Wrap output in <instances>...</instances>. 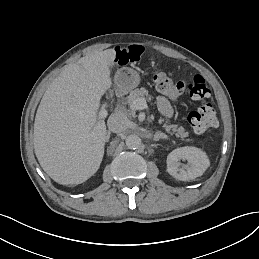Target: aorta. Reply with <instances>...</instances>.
I'll list each match as a JSON object with an SVG mask.
<instances>
[{
	"label": "aorta",
	"mask_w": 259,
	"mask_h": 259,
	"mask_svg": "<svg viewBox=\"0 0 259 259\" xmlns=\"http://www.w3.org/2000/svg\"><path fill=\"white\" fill-rule=\"evenodd\" d=\"M126 146L129 148V149H137L140 147L141 145V139L140 137H138L137 135L135 134H131V135H128L126 137Z\"/></svg>",
	"instance_id": "obj_1"
}]
</instances>
